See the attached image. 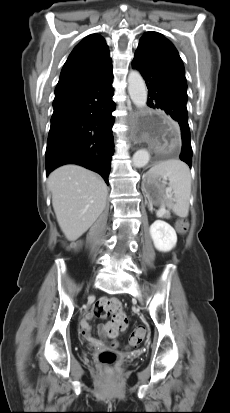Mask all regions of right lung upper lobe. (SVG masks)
<instances>
[{
  "label": "right lung upper lobe",
  "instance_id": "1",
  "mask_svg": "<svg viewBox=\"0 0 230 413\" xmlns=\"http://www.w3.org/2000/svg\"><path fill=\"white\" fill-rule=\"evenodd\" d=\"M112 74L110 51L98 34L85 37L71 52L61 71L55 94L93 84Z\"/></svg>",
  "mask_w": 230,
  "mask_h": 413
}]
</instances>
